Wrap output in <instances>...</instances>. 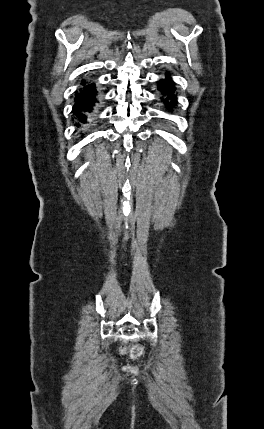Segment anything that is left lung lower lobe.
Instances as JSON below:
<instances>
[{"label":"left lung lower lobe","instance_id":"obj_1","mask_svg":"<svg viewBox=\"0 0 264 429\" xmlns=\"http://www.w3.org/2000/svg\"><path fill=\"white\" fill-rule=\"evenodd\" d=\"M158 90L162 92L164 96H166L164 103L167 107H173L176 104V96L174 95V82L171 80L168 74H166L165 80H160L158 82ZM169 99L171 100L170 102L168 101Z\"/></svg>","mask_w":264,"mask_h":429}]
</instances>
